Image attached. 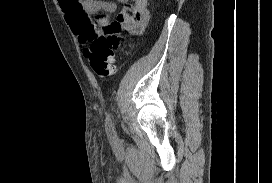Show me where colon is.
Returning <instances> with one entry per match:
<instances>
[{
	"mask_svg": "<svg viewBox=\"0 0 272 183\" xmlns=\"http://www.w3.org/2000/svg\"><path fill=\"white\" fill-rule=\"evenodd\" d=\"M111 25H119L112 23ZM117 31V36L102 34L89 42L85 49V57L88 59L93 71L102 78L113 76L117 72L118 46L125 41L122 30Z\"/></svg>",
	"mask_w": 272,
	"mask_h": 183,
	"instance_id": "5ec220e1",
	"label": "colon"
}]
</instances>
